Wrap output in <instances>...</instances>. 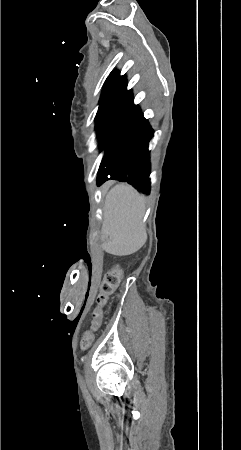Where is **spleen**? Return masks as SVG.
I'll list each match as a JSON object with an SVG mask.
<instances>
[{"label":"spleen","mask_w":241,"mask_h":450,"mask_svg":"<svg viewBox=\"0 0 241 450\" xmlns=\"http://www.w3.org/2000/svg\"><path fill=\"white\" fill-rule=\"evenodd\" d=\"M102 233L103 250L113 256H130L138 252L147 240L142 218L145 200L129 184H117L111 188L104 203Z\"/></svg>","instance_id":"obj_1"}]
</instances>
